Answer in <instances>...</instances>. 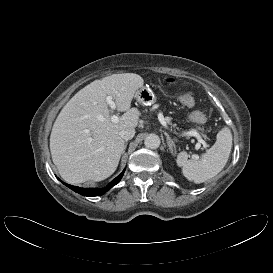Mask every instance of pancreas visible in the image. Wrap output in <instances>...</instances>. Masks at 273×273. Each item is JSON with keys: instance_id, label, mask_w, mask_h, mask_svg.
<instances>
[{"instance_id": "obj_1", "label": "pancreas", "mask_w": 273, "mask_h": 273, "mask_svg": "<svg viewBox=\"0 0 273 273\" xmlns=\"http://www.w3.org/2000/svg\"><path fill=\"white\" fill-rule=\"evenodd\" d=\"M166 121H167L168 124L171 125V118H166ZM172 126H173V127H176V125H172Z\"/></svg>"}]
</instances>
